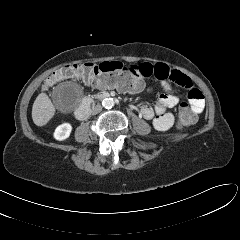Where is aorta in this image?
Wrapping results in <instances>:
<instances>
[{"instance_id": "obj_1", "label": "aorta", "mask_w": 240, "mask_h": 240, "mask_svg": "<svg viewBox=\"0 0 240 240\" xmlns=\"http://www.w3.org/2000/svg\"><path fill=\"white\" fill-rule=\"evenodd\" d=\"M102 106L106 109H110L114 106V100L113 98H105L102 101Z\"/></svg>"}]
</instances>
